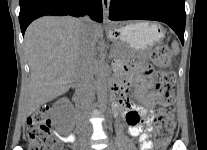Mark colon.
Segmentation results:
<instances>
[{
	"instance_id": "obj_1",
	"label": "colon",
	"mask_w": 207,
	"mask_h": 150,
	"mask_svg": "<svg viewBox=\"0 0 207 150\" xmlns=\"http://www.w3.org/2000/svg\"><path fill=\"white\" fill-rule=\"evenodd\" d=\"M152 61L159 67H165L169 61V49L166 45L157 46L151 53ZM155 90L158 105L155 115L154 139L157 150H164L175 129L174 121V83L175 74L169 70L157 73ZM51 120L46 107L32 113L26 122V135L29 150H60L58 140L51 135Z\"/></svg>"
}]
</instances>
